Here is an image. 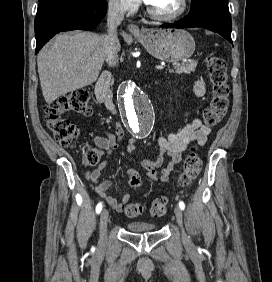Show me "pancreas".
I'll return each mask as SVG.
<instances>
[{"mask_svg": "<svg viewBox=\"0 0 272 282\" xmlns=\"http://www.w3.org/2000/svg\"><path fill=\"white\" fill-rule=\"evenodd\" d=\"M198 62L197 61H190L185 64H175L174 69L170 70V73H176V74H189L191 72L195 71V68L197 66Z\"/></svg>", "mask_w": 272, "mask_h": 282, "instance_id": "1", "label": "pancreas"}]
</instances>
